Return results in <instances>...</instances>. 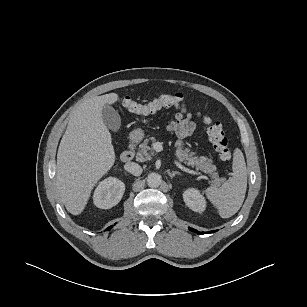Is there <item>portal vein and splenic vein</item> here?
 I'll list each match as a JSON object with an SVG mask.
<instances>
[{"label":"portal vein and splenic vein","instance_id":"obj_1","mask_svg":"<svg viewBox=\"0 0 307 307\" xmlns=\"http://www.w3.org/2000/svg\"><path fill=\"white\" fill-rule=\"evenodd\" d=\"M174 164L180 168L182 171L192 174V175H201V173L196 172L194 170H190L189 168L184 167L180 162H178L177 160H174Z\"/></svg>","mask_w":307,"mask_h":307}]
</instances>
